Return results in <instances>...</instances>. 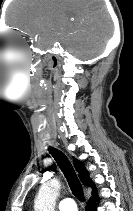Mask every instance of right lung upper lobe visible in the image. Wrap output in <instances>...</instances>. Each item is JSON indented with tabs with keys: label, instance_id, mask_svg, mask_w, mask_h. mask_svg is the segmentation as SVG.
Listing matches in <instances>:
<instances>
[{
	"label": "right lung upper lobe",
	"instance_id": "obj_1",
	"mask_svg": "<svg viewBox=\"0 0 133 211\" xmlns=\"http://www.w3.org/2000/svg\"><path fill=\"white\" fill-rule=\"evenodd\" d=\"M74 166H75V169L77 170V172L79 173V178H80L81 182L85 186H88V187L92 188L93 193H92V197L91 198L98 197L95 185H94V183L92 181L89 180V173L86 170L84 164L82 162H80L79 160L74 159Z\"/></svg>",
	"mask_w": 133,
	"mask_h": 211
}]
</instances>
